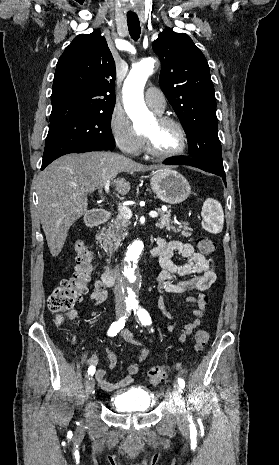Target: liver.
<instances>
[{
    "instance_id": "liver-1",
    "label": "liver",
    "mask_w": 279,
    "mask_h": 465,
    "mask_svg": "<svg viewBox=\"0 0 279 465\" xmlns=\"http://www.w3.org/2000/svg\"><path fill=\"white\" fill-rule=\"evenodd\" d=\"M164 166L143 165L111 152L68 154L48 165L37 183L38 213L53 257L61 252L70 227L87 213L89 193L114 180L116 191L126 195L130 183L116 178L120 172H144Z\"/></svg>"
}]
</instances>
